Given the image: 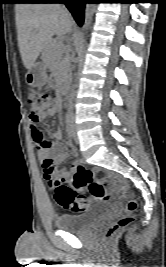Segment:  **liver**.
I'll use <instances>...</instances> for the list:
<instances>
[{
  "mask_svg": "<svg viewBox=\"0 0 166 267\" xmlns=\"http://www.w3.org/2000/svg\"><path fill=\"white\" fill-rule=\"evenodd\" d=\"M15 19L19 51L26 69L35 64L54 35H65L73 25L69 13L58 4L18 3Z\"/></svg>",
  "mask_w": 166,
  "mask_h": 267,
  "instance_id": "6515ba94",
  "label": "liver"
}]
</instances>
